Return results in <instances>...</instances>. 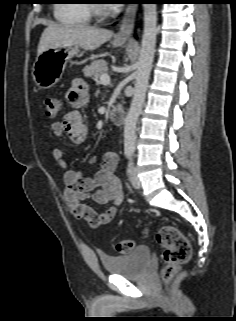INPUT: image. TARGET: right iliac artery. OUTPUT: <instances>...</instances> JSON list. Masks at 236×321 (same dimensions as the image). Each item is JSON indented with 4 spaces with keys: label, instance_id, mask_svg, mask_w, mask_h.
Here are the masks:
<instances>
[{
    "label": "right iliac artery",
    "instance_id": "right-iliac-artery-1",
    "mask_svg": "<svg viewBox=\"0 0 236 321\" xmlns=\"http://www.w3.org/2000/svg\"><path fill=\"white\" fill-rule=\"evenodd\" d=\"M130 155V153H126V156L128 157Z\"/></svg>",
    "mask_w": 236,
    "mask_h": 321
}]
</instances>
